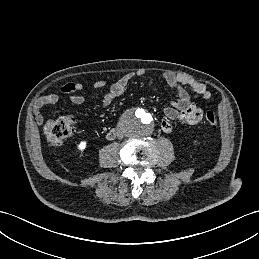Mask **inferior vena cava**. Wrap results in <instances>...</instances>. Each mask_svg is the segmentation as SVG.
Instances as JSON below:
<instances>
[{"instance_id":"1","label":"inferior vena cava","mask_w":259,"mask_h":259,"mask_svg":"<svg viewBox=\"0 0 259 259\" xmlns=\"http://www.w3.org/2000/svg\"><path fill=\"white\" fill-rule=\"evenodd\" d=\"M117 135H118L119 137H122V136H123V134H122L121 131H118V132H117Z\"/></svg>"}]
</instances>
